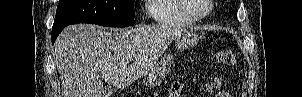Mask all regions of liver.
Here are the masks:
<instances>
[{
  "label": "liver",
  "mask_w": 302,
  "mask_h": 97,
  "mask_svg": "<svg viewBox=\"0 0 302 97\" xmlns=\"http://www.w3.org/2000/svg\"><path fill=\"white\" fill-rule=\"evenodd\" d=\"M185 29L140 26L109 29L92 24L66 27L54 43L62 97H101L104 81L125 88L146 74ZM132 57V64L127 67Z\"/></svg>",
  "instance_id": "6515ba94"
}]
</instances>
